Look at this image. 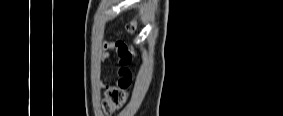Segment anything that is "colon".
Here are the masks:
<instances>
[{
  "instance_id": "5ec220e1",
  "label": "colon",
  "mask_w": 283,
  "mask_h": 116,
  "mask_svg": "<svg viewBox=\"0 0 283 116\" xmlns=\"http://www.w3.org/2000/svg\"><path fill=\"white\" fill-rule=\"evenodd\" d=\"M128 30L130 33H134L136 31V25L134 23L130 24ZM127 53L131 57L130 50L127 49ZM131 79L132 76L129 74L125 77H119L115 83L108 85L102 101V110L106 114L116 111L125 103L127 98V89L130 86Z\"/></svg>"
}]
</instances>
